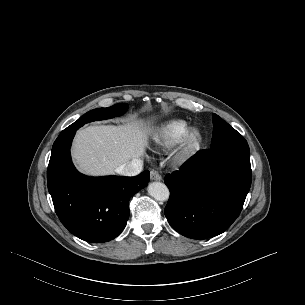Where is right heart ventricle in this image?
Here are the masks:
<instances>
[{"mask_svg": "<svg viewBox=\"0 0 305 305\" xmlns=\"http://www.w3.org/2000/svg\"><path fill=\"white\" fill-rule=\"evenodd\" d=\"M189 130V124L181 119H173L157 129L154 139L164 147H172L178 144L186 132Z\"/></svg>", "mask_w": 305, "mask_h": 305, "instance_id": "obj_1", "label": "right heart ventricle"}]
</instances>
